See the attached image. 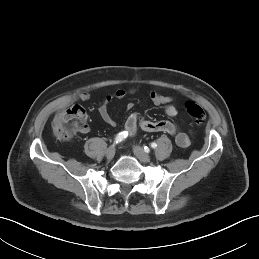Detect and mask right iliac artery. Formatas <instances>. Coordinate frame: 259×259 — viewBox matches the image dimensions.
<instances>
[{"label":"right iliac artery","instance_id":"right-iliac-artery-1","mask_svg":"<svg viewBox=\"0 0 259 259\" xmlns=\"http://www.w3.org/2000/svg\"><path fill=\"white\" fill-rule=\"evenodd\" d=\"M126 137H127V133H126L125 131L120 132V133L117 134V136L115 137V143H120V142L123 141Z\"/></svg>","mask_w":259,"mask_h":259}]
</instances>
